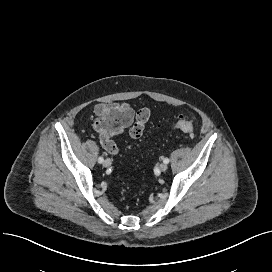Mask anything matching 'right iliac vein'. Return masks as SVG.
<instances>
[{
  "label": "right iliac vein",
  "mask_w": 272,
  "mask_h": 272,
  "mask_svg": "<svg viewBox=\"0 0 272 272\" xmlns=\"http://www.w3.org/2000/svg\"><path fill=\"white\" fill-rule=\"evenodd\" d=\"M110 165H111V160L109 158L105 159V161L103 162V166L109 167Z\"/></svg>",
  "instance_id": "right-iliac-vein-1"
}]
</instances>
